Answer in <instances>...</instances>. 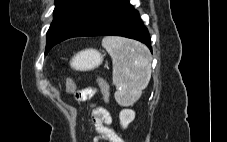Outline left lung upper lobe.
Returning a JSON list of instances; mask_svg holds the SVG:
<instances>
[{"label": "left lung upper lobe", "instance_id": "5c2ea615", "mask_svg": "<svg viewBox=\"0 0 227 142\" xmlns=\"http://www.w3.org/2000/svg\"><path fill=\"white\" fill-rule=\"evenodd\" d=\"M111 0H55L54 19L47 32L46 52L70 38Z\"/></svg>", "mask_w": 227, "mask_h": 142}]
</instances>
